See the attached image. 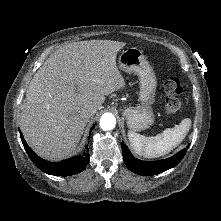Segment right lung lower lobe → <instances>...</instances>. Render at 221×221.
<instances>
[{"label":"right lung lower lobe","mask_w":221,"mask_h":221,"mask_svg":"<svg viewBox=\"0 0 221 221\" xmlns=\"http://www.w3.org/2000/svg\"><path fill=\"white\" fill-rule=\"evenodd\" d=\"M95 124L93 125V127ZM91 128V130L93 129ZM90 130V131H91ZM20 137L23 143V146L32 160V162L43 172L55 175V176H70L73 174H77L85 170L86 165L89 163L90 157L88 153V148L86 146L85 152L82 155L72 157L70 159L61 161V162H49L46 161L39 156H37L31 148L27 145L26 141L23 138L22 133L20 132Z\"/></svg>","instance_id":"obj_1"}]
</instances>
